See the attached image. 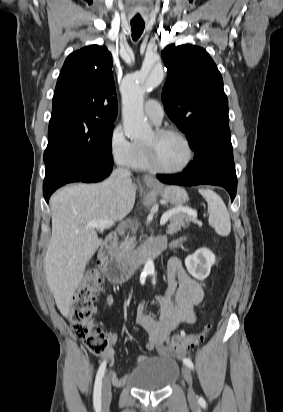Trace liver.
Masks as SVG:
<instances>
[{"instance_id": "obj_1", "label": "liver", "mask_w": 283, "mask_h": 412, "mask_svg": "<svg viewBox=\"0 0 283 412\" xmlns=\"http://www.w3.org/2000/svg\"><path fill=\"white\" fill-rule=\"evenodd\" d=\"M136 185L109 177L99 184H76L51 197L52 235L44 261L45 276L65 317L85 267L102 243L91 221L123 219L133 209Z\"/></svg>"}]
</instances>
